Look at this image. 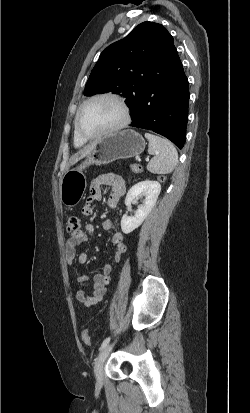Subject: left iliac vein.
I'll use <instances>...</instances> for the list:
<instances>
[{"label":"left iliac vein","mask_w":250,"mask_h":413,"mask_svg":"<svg viewBox=\"0 0 250 413\" xmlns=\"http://www.w3.org/2000/svg\"><path fill=\"white\" fill-rule=\"evenodd\" d=\"M112 344L111 345H107L106 347H104L101 352L99 353L96 361H95V366H94V373H95V377L97 380L98 384L102 383L103 380V365L104 362L106 361L107 357L109 356V353L112 349Z\"/></svg>","instance_id":"4c4485c4"}]
</instances>
